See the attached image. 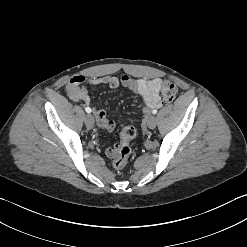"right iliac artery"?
I'll return each mask as SVG.
<instances>
[{
    "label": "right iliac artery",
    "instance_id": "1",
    "mask_svg": "<svg viewBox=\"0 0 247 247\" xmlns=\"http://www.w3.org/2000/svg\"><path fill=\"white\" fill-rule=\"evenodd\" d=\"M85 111H86L87 113H91V112H92V110H91L90 107H86V108H85Z\"/></svg>",
    "mask_w": 247,
    "mask_h": 247
}]
</instances>
